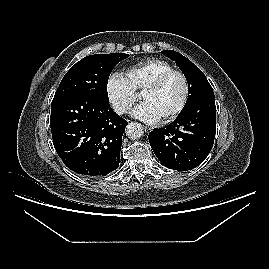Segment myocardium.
I'll return each mask as SVG.
<instances>
[{
	"mask_svg": "<svg viewBox=\"0 0 269 269\" xmlns=\"http://www.w3.org/2000/svg\"><path fill=\"white\" fill-rule=\"evenodd\" d=\"M173 75H179L182 78L184 82V96L180 104L172 112H170L165 117L160 119V121L163 123H166L176 118L185 109L189 101L191 90L190 82L187 75L181 70L172 69L158 76L155 80H153L150 84H148L141 92L142 95L144 93L157 91L165 83V81Z\"/></svg>",
	"mask_w": 269,
	"mask_h": 269,
	"instance_id": "myocardium-1",
	"label": "myocardium"
}]
</instances>
